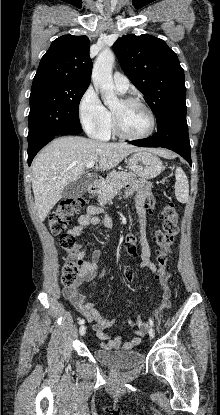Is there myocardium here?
Segmentation results:
<instances>
[{"label": "myocardium", "instance_id": "1", "mask_svg": "<svg viewBox=\"0 0 220 415\" xmlns=\"http://www.w3.org/2000/svg\"><path fill=\"white\" fill-rule=\"evenodd\" d=\"M121 102L124 105H138L142 107L150 116L151 126H150V129L143 135H138V136L130 135L123 130L117 114L114 111H112L114 132L121 138H124L127 140H133V141L143 140V139L150 137L154 133L156 129V124H157L156 115L154 111L151 109V107L148 106L144 101L138 98H132V97L124 98L121 100Z\"/></svg>", "mask_w": 220, "mask_h": 415}]
</instances>
